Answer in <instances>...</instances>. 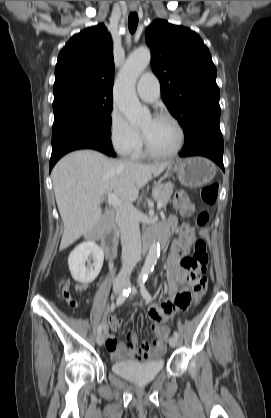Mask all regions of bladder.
Here are the masks:
<instances>
[{
  "label": "bladder",
  "instance_id": "bladder-1",
  "mask_svg": "<svg viewBox=\"0 0 271 418\" xmlns=\"http://www.w3.org/2000/svg\"><path fill=\"white\" fill-rule=\"evenodd\" d=\"M165 368L162 355L145 361L118 360L113 363V372L136 384H146L153 381Z\"/></svg>",
  "mask_w": 271,
  "mask_h": 418
}]
</instances>
